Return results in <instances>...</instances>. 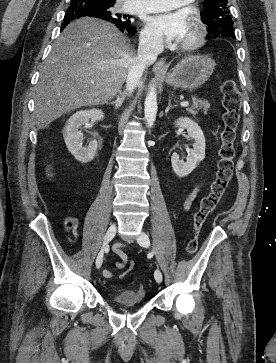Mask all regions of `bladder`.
Masks as SVG:
<instances>
[{"label": "bladder", "mask_w": 276, "mask_h": 363, "mask_svg": "<svg viewBox=\"0 0 276 363\" xmlns=\"http://www.w3.org/2000/svg\"><path fill=\"white\" fill-rule=\"evenodd\" d=\"M112 300L122 306H136L144 303L145 297L142 289H129L115 293Z\"/></svg>", "instance_id": "1"}]
</instances>
